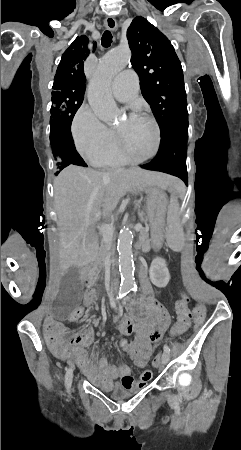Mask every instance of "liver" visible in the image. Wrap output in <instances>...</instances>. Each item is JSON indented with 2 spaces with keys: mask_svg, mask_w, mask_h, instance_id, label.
Listing matches in <instances>:
<instances>
[{
  "mask_svg": "<svg viewBox=\"0 0 241 450\" xmlns=\"http://www.w3.org/2000/svg\"><path fill=\"white\" fill-rule=\"evenodd\" d=\"M177 178L140 168L97 172L68 166L54 180L58 214L60 272L83 268L96 260L95 224L109 216L127 192H148L151 186L167 190Z\"/></svg>",
  "mask_w": 241,
  "mask_h": 450,
  "instance_id": "1",
  "label": "liver"
}]
</instances>
